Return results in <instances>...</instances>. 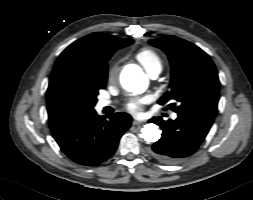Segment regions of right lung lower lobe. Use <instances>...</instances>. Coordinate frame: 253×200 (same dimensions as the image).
<instances>
[{
	"label": "right lung lower lobe",
	"instance_id": "right-lung-lower-lobe-1",
	"mask_svg": "<svg viewBox=\"0 0 253 200\" xmlns=\"http://www.w3.org/2000/svg\"><path fill=\"white\" fill-rule=\"evenodd\" d=\"M131 117L116 113L106 120L95 110L50 122V130L64 154L74 162L96 166L116 151L119 139L129 129Z\"/></svg>",
	"mask_w": 253,
	"mask_h": 200
}]
</instances>
